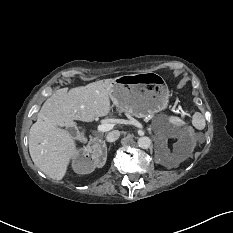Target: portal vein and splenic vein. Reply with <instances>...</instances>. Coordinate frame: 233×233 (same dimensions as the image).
<instances>
[{"mask_svg":"<svg viewBox=\"0 0 233 233\" xmlns=\"http://www.w3.org/2000/svg\"><path fill=\"white\" fill-rule=\"evenodd\" d=\"M179 110L182 111L181 108H179ZM112 128H113V124L107 123V124L98 125L97 130L99 132H107L110 131Z\"/></svg>","mask_w":233,"mask_h":233,"instance_id":"18ae733b","label":"portal vein and splenic vein"}]
</instances>
